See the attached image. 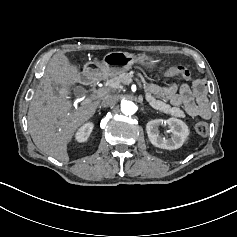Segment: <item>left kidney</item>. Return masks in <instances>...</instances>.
I'll return each mask as SVG.
<instances>
[{
    "mask_svg": "<svg viewBox=\"0 0 237 237\" xmlns=\"http://www.w3.org/2000/svg\"><path fill=\"white\" fill-rule=\"evenodd\" d=\"M163 123H166L170 127V131L173 134L169 138L159 135V126ZM146 131L152 145L167 150L180 148L189 134L186 124L175 118L151 120L146 124Z\"/></svg>",
    "mask_w": 237,
    "mask_h": 237,
    "instance_id": "left-kidney-1",
    "label": "left kidney"
}]
</instances>
